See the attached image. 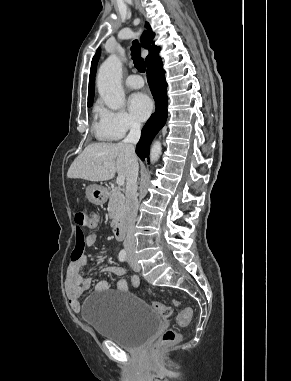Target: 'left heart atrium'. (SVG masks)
<instances>
[{
    "mask_svg": "<svg viewBox=\"0 0 291 381\" xmlns=\"http://www.w3.org/2000/svg\"><path fill=\"white\" fill-rule=\"evenodd\" d=\"M129 107L136 119L144 121L153 109L151 99L144 93H135L129 99Z\"/></svg>",
    "mask_w": 291,
    "mask_h": 381,
    "instance_id": "39dd6f15",
    "label": "left heart atrium"
}]
</instances>
